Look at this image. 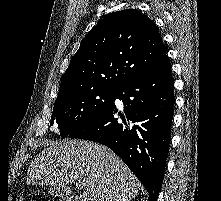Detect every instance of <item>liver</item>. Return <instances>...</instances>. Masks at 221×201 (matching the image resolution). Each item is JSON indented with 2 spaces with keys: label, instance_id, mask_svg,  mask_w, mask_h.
I'll return each instance as SVG.
<instances>
[{
  "label": "liver",
  "instance_id": "1",
  "mask_svg": "<svg viewBox=\"0 0 221 201\" xmlns=\"http://www.w3.org/2000/svg\"><path fill=\"white\" fill-rule=\"evenodd\" d=\"M31 162L27 182L62 185L81 182L80 201H117L137 196L141 183L106 146L83 140L46 142Z\"/></svg>",
  "mask_w": 221,
  "mask_h": 201
}]
</instances>
